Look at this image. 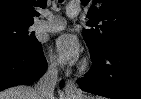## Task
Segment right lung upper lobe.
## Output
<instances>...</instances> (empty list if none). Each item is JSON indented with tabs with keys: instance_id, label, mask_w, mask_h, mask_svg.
<instances>
[{
	"instance_id": "1",
	"label": "right lung upper lobe",
	"mask_w": 141,
	"mask_h": 99,
	"mask_svg": "<svg viewBox=\"0 0 141 99\" xmlns=\"http://www.w3.org/2000/svg\"><path fill=\"white\" fill-rule=\"evenodd\" d=\"M47 0H0V22H33L39 13L35 7L45 8Z\"/></svg>"
}]
</instances>
